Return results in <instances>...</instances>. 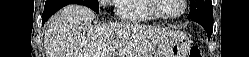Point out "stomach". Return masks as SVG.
Masks as SVG:
<instances>
[{
    "label": "stomach",
    "mask_w": 249,
    "mask_h": 57,
    "mask_svg": "<svg viewBox=\"0 0 249 57\" xmlns=\"http://www.w3.org/2000/svg\"><path fill=\"white\" fill-rule=\"evenodd\" d=\"M190 40L181 31H171L159 38L154 57H188Z\"/></svg>",
    "instance_id": "1"
}]
</instances>
